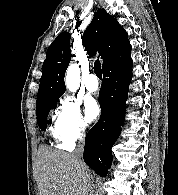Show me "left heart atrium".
<instances>
[{
    "label": "left heart atrium",
    "instance_id": "1",
    "mask_svg": "<svg viewBox=\"0 0 178 195\" xmlns=\"http://www.w3.org/2000/svg\"><path fill=\"white\" fill-rule=\"evenodd\" d=\"M84 106L87 122L94 121L100 113V107L98 105V102L94 98L89 97L85 100Z\"/></svg>",
    "mask_w": 178,
    "mask_h": 195
}]
</instances>
